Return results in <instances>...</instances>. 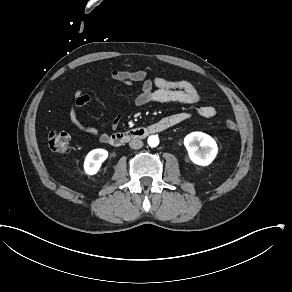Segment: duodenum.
<instances>
[{
    "instance_id": "obj_1",
    "label": "duodenum",
    "mask_w": 292,
    "mask_h": 292,
    "mask_svg": "<svg viewBox=\"0 0 292 292\" xmlns=\"http://www.w3.org/2000/svg\"><path fill=\"white\" fill-rule=\"evenodd\" d=\"M160 128H161L160 124H154L148 127L129 129L127 131L118 132L109 136L108 142L111 145L118 147L129 140L142 139L151 133L162 132Z\"/></svg>"
}]
</instances>
